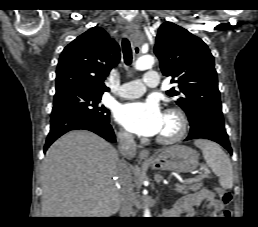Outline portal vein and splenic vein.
<instances>
[{"label": "portal vein and splenic vein", "instance_id": "1", "mask_svg": "<svg viewBox=\"0 0 258 227\" xmlns=\"http://www.w3.org/2000/svg\"><path fill=\"white\" fill-rule=\"evenodd\" d=\"M199 180V178H187L183 181V184L185 185H189V184H192V183H195ZM181 186V184H177V187Z\"/></svg>", "mask_w": 258, "mask_h": 227}]
</instances>
